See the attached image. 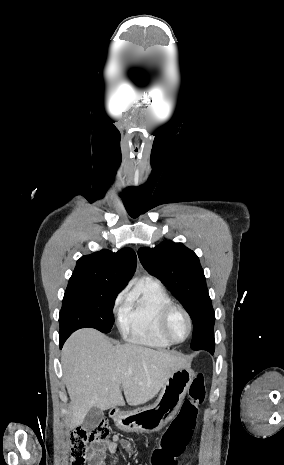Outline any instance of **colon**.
Returning a JSON list of instances; mask_svg holds the SVG:
<instances>
[{
    "instance_id": "5ec220e1",
    "label": "colon",
    "mask_w": 284,
    "mask_h": 465,
    "mask_svg": "<svg viewBox=\"0 0 284 465\" xmlns=\"http://www.w3.org/2000/svg\"><path fill=\"white\" fill-rule=\"evenodd\" d=\"M205 400L204 377L202 374H195L192 377L188 389V398L182 405V413H177V421H172L165 430L166 438L163 439V449L158 447L154 452V456L150 458L152 465H178L184 448H188L189 441L187 438H192L195 430V413L198 410V405H202ZM109 438V431L106 424L98 422L94 425L81 427L71 434V465L85 464V451L91 444L97 443ZM175 451V452H174Z\"/></svg>"
}]
</instances>
